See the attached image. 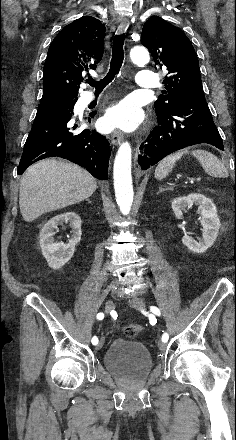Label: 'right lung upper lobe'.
<instances>
[{
	"mask_svg": "<svg viewBox=\"0 0 236 440\" xmlns=\"http://www.w3.org/2000/svg\"><path fill=\"white\" fill-rule=\"evenodd\" d=\"M105 25L83 16L65 26L52 41L43 69L40 105L77 100L85 72L96 69L104 49Z\"/></svg>",
	"mask_w": 236,
	"mask_h": 440,
	"instance_id": "obj_1",
	"label": "right lung upper lobe"
}]
</instances>
